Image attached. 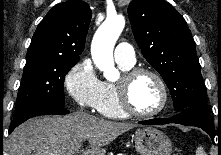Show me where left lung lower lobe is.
Segmentation results:
<instances>
[{
	"instance_id": "0a47b994",
	"label": "left lung lower lobe",
	"mask_w": 221,
	"mask_h": 155,
	"mask_svg": "<svg viewBox=\"0 0 221 155\" xmlns=\"http://www.w3.org/2000/svg\"><path fill=\"white\" fill-rule=\"evenodd\" d=\"M144 125L176 123L185 126H196L207 132L214 141V121L212 120L207 103H198L180 111L177 115L167 119H151L141 121Z\"/></svg>"
}]
</instances>
